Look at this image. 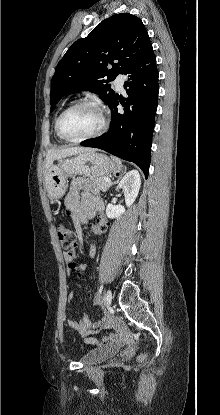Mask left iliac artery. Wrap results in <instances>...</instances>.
<instances>
[{
	"label": "left iliac artery",
	"mask_w": 220,
	"mask_h": 415,
	"mask_svg": "<svg viewBox=\"0 0 220 415\" xmlns=\"http://www.w3.org/2000/svg\"><path fill=\"white\" fill-rule=\"evenodd\" d=\"M102 291H103V285H101V286H100V288H99L97 298H99V297H100V295H101Z\"/></svg>",
	"instance_id": "left-iliac-artery-1"
}]
</instances>
